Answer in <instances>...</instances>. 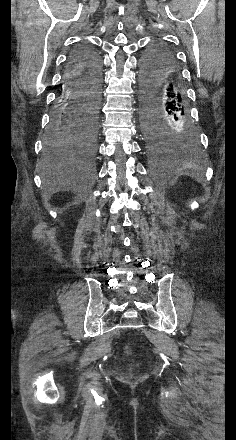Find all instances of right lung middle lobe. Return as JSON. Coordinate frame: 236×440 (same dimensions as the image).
<instances>
[{
  "mask_svg": "<svg viewBox=\"0 0 236 440\" xmlns=\"http://www.w3.org/2000/svg\"><path fill=\"white\" fill-rule=\"evenodd\" d=\"M101 94V85L87 84L82 91V98L88 106L84 120L78 129L50 131L44 146V159L60 163L76 156L86 160L93 157L96 134L97 107Z\"/></svg>",
  "mask_w": 236,
  "mask_h": 440,
  "instance_id": "dd1d6c3e",
  "label": "right lung middle lobe"
}]
</instances>
